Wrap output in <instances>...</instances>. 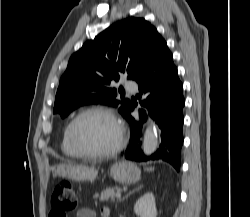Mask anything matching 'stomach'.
Returning a JSON list of instances; mask_svg holds the SVG:
<instances>
[{
    "label": "stomach",
    "mask_w": 250,
    "mask_h": 217,
    "mask_svg": "<svg viewBox=\"0 0 250 217\" xmlns=\"http://www.w3.org/2000/svg\"><path fill=\"white\" fill-rule=\"evenodd\" d=\"M53 174L76 181H94L97 178L98 171L85 165L58 164L53 167ZM140 174L139 168L127 161L116 162L110 168L111 177L124 184L137 182L140 179Z\"/></svg>",
    "instance_id": "stomach-1"
}]
</instances>
